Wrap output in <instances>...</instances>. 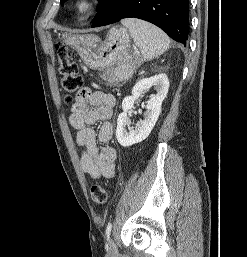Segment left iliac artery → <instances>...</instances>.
Masks as SVG:
<instances>
[{"mask_svg": "<svg viewBox=\"0 0 247 257\" xmlns=\"http://www.w3.org/2000/svg\"><path fill=\"white\" fill-rule=\"evenodd\" d=\"M111 229H112V223H108L107 227H106V236L109 237L110 233H111Z\"/></svg>", "mask_w": 247, "mask_h": 257, "instance_id": "1", "label": "left iliac artery"}]
</instances>
